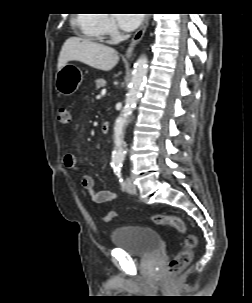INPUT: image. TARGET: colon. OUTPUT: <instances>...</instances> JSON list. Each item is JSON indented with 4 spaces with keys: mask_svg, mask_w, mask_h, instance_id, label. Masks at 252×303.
Masks as SVG:
<instances>
[{
    "mask_svg": "<svg viewBox=\"0 0 252 303\" xmlns=\"http://www.w3.org/2000/svg\"><path fill=\"white\" fill-rule=\"evenodd\" d=\"M59 121L62 124H68L70 122V111L67 107L62 106L59 108ZM114 211H110L104 215L103 220L110 222L116 217ZM151 220L156 225L171 226L177 229L179 232L184 233L186 228L181 219L171 215L154 214L151 216ZM197 247V238L193 235H189L184 239L183 248L170 260L167 267V274L169 277L177 276L192 260L194 251Z\"/></svg>",
    "mask_w": 252,
    "mask_h": 303,
    "instance_id": "obj_1",
    "label": "colon"
}]
</instances>
